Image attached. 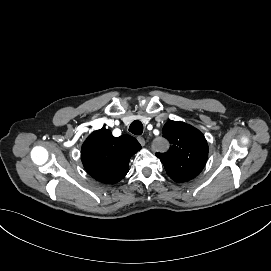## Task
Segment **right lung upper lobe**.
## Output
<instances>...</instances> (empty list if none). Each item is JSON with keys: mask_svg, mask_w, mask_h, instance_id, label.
Masks as SVG:
<instances>
[{"mask_svg": "<svg viewBox=\"0 0 271 271\" xmlns=\"http://www.w3.org/2000/svg\"><path fill=\"white\" fill-rule=\"evenodd\" d=\"M141 149L130 135L114 137L110 130L94 131L84 142L81 159L86 171L97 181L115 184L129 171V160Z\"/></svg>", "mask_w": 271, "mask_h": 271, "instance_id": "obj_1", "label": "right lung upper lobe"}]
</instances>
